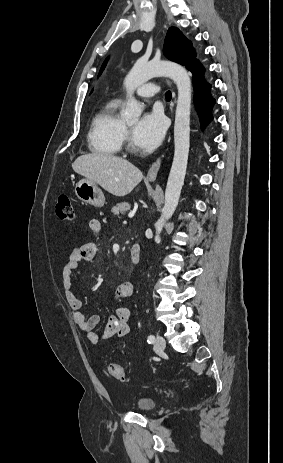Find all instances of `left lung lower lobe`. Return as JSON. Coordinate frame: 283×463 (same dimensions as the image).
<instances>
[{
	"mask_svg": "<svg viewBox=\"0 0 283 463\" xmlns=\"http://www.w3.org/2000/svg\"><path fill=\"white\" fill-rule=\"evenodd\" d=\"M193 74V82L196 94V105L199 113L201 128L203 129L211 120V110L215 100L211 97V86L204 80V68L197 61L188 68Z\"/></svg>",
	"mask_w": 283,
	"mask_h": 463,
	"instance_id": "1",
	"label": "left lung lower lobe"
}]
</instances>
